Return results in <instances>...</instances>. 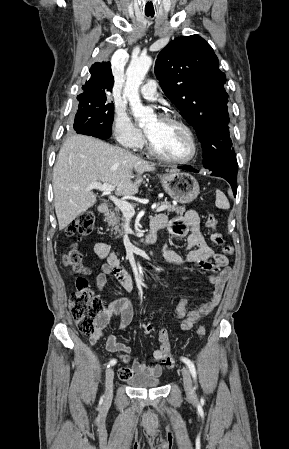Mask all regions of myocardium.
<instances>
[{
    "mask_svg": "<svg viewBox=\"0 0 289 449\" xmlns=\"http://www.w3.org/2000/svg\"><path fill=\"white\" fill-rule=\"evenodd\" d=\"M159 119L165 121V122H169V123H173L179 127H181L187 134L190 143H191V153L188 157L186 158H172V157H168L162 153H160L154 146V144L152 143L151 139L149 138V136L146 134V143H147V148L148 151L151 155H153L154 157L165 161V162H169V163H175V164H188L193 162L197 155H198V143H197V139L196 136L193 132V130L191 129V127L185 123L183 120H181L180 118L173 116L171 114H161L159 116Z\"/></svg>",
    "mask_w": 289,
    "mask_h": 449,
    "instance_id": "myocardium-1",
    "label": "myocardium"
}]
</instances>
